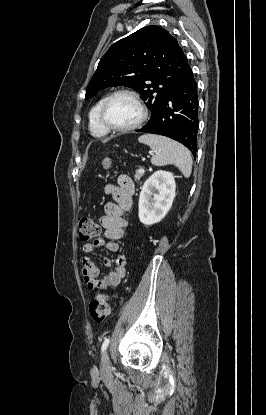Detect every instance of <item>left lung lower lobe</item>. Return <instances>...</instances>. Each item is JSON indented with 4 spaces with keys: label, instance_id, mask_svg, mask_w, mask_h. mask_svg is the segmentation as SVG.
Returning a JSON list of instances; mask_svg holds the SVG:
<instances>
[{
    "label": "left lung lower lobe",
    "instance_id": "1",
    "mask_svg": "<svg viewBox=\"0 0 266 415\" xmlns=\"http://www.w3.org/2000/svg\"><path fill=\"white\" fill-rule=\"evenodd\" d=\"M136 131L174 139L185 145L196 158L198 90L189 64L157 114L144 127Z\"/></svg>",
    "mask_w": 266,
    "mask_h": 415
}]
</instances>
